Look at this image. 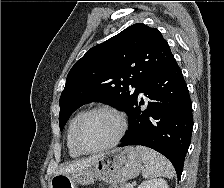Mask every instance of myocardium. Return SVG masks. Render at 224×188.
<instances>
[{"label":"myocardium","mask_w":224,"mask_h":188,"mask_svg":"<svg viewBox=\"0 0 224 188\" xmlns=\"http://www.w3.org/2000/svg\"><path fill=\"white\" fill-rule=\"evenodd\" d=\"M96 112H106V113L114 115L118 119V122H119V126H120L119 131H118L117 135L113 138V140H111L109 143L99 146V147H96V148H86L79 141V132H80V129H81L83 123L85 122V120L90 115H92ZM127 128H128V122H127V118L123 112H121L118 109L113 108L111 106H107V105L96 106V107H93V108L87 110L86 112H84L81 115V117L78 119V121L74 127V130H73V143H74L75 148L82 154L101 152V151L107 150V149L112 148L115 145H117L120 142V140L123 138L124 134L126 133Z\"/></svg>","instance_id":"1"}]
</instances>
